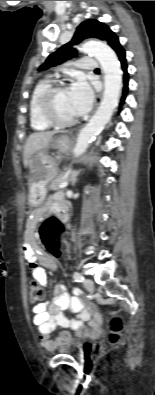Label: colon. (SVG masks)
I'll use <instances>...</instances> for the list:
<instances>
[{
  "label": "colon",
  "mask_w": 155,
  "mask_h": 395,
  "mask_svg": "<svg viewBox=\"0 0 155 395\" xmlns=\"http://www.w3.org/2000/svg\"><path fill=\"white\" fill-rule=\"evenodd\" d=\"M56 215H49L40 228L41 240L49 251L50 256H61L62 251L58 245L62 240L60 235H65L66 223H57ZM45 298L43 288L36 281L29 283V300L32 303L42 302ZM107 334V342L110 345H117L121 341L122 331L124 329V321L121 315L113 316L109 321Z\"/></svg>",
  "instance_id": "5ec220e1"
}]
</instances>
